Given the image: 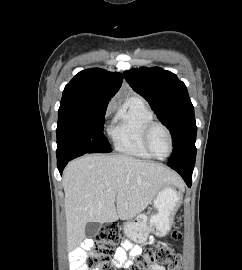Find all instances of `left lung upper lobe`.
<instances>
[{
	"mask_svg": "<svg viewBox=\"0 0 242 270\" xmlns=\"http://www.w3.org/2000/svg\"><path fill=\"white\" fill-rule=\"evenodd\" d=\"M124 77L171 132L173 152L168 164H195L197 127L185 84L175 74L159 67L132 69L124 72Z\"/></svg>",
	"mask_w": 242,
	"mask_h": 270,
	"instance_id": "1",
	"label": "left lung upper lobe"
}]
</instances>
